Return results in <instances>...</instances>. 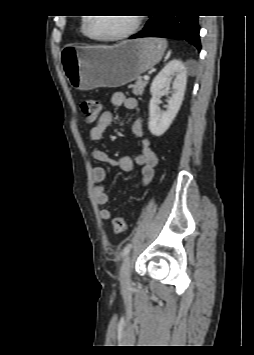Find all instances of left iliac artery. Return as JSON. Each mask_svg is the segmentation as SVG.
<instances>
[{"label": "left iliac artery", "instance_id": "obj_1", "mask_svg": "<svg viewBox=\"0 0 254 355\" xmlns=\"http://www.w3.org/2000/svg\"><path fill=\"white\" fill-rule=\"evenodd\" d=\"M131 247H132L131 244H128V245L123 249L122 254H123L124 257L128 255V253H129L130 250H131Z\"/></svg>", "mask_w": 254, "mask_h": 355}]
</instances>
